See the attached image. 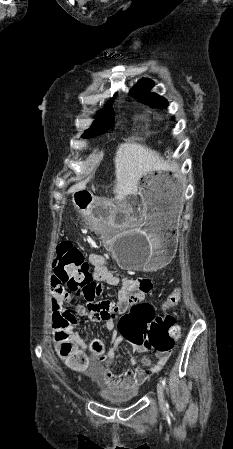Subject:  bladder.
Masks as SVG:
<instances>
[{"label":"bladder","mask_w":233,"mask_h":449,"mask_svg":"<svg viewBox=\"0 0 233 449\" xmlns=\"http://www.w3.org/2000/svg\"><path fill=\"white\" fill-rule=\"evenodd\" d=\"M100 396L110 404L123 405L133 401L138 395V389H113L105 384H99Z\"/></svg>","instance_id":"31cf9c89"}]
</instances>
